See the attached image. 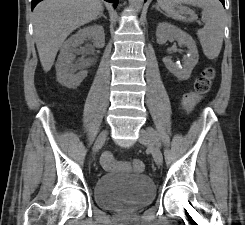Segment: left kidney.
<instances>
[{
	"label": "left kidney",
	"instance_id": "1",
	"mask_svg": "<svg viewBox=\"0 0 245 225\" xmlns=\"http://www.w3.org/2000/svg\"><path fill=\"white\" fill-rule=\"evenodd\" d=\"M158 44H165L169 39H176L179 45L188 48V54L184 57L183 67L177 66L170 57L163 58L166 68L175 75L179 80H187L190 78L193 68L198 63L199 55L195 41L193 38L170 23H159L156 30Z\"/></svg>",
	"mask_w": 245,
	"mask_h": 225
}]
</instances>
